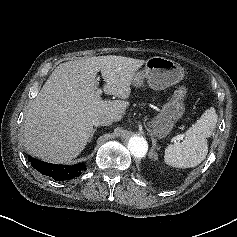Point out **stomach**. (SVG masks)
Listing matches in <instances>:
<instances>
[{"mask_svg": "<svg viewBox=\"0 0 237 237\" xmlns=\"http://www.w3.org/2000/svg\"><path fill=\"white\" fill-rule=\"evenodd\" d=\"M184 78V69L173 60L164 57H151L146 61L145 70L135 73L132 84L141 87L146 79L154 90H163L179 83ZM186 88L177 89L172 98L163 105L161 112L150 120L149 129L155 137L162 139L173 129L185 112L184 97Z\"/></svg>", "mask_w": 237, "mask_h": 237, "instance_id": "obj_1", "label": "stomach"}]
</instances>
